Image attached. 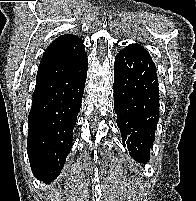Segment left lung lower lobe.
Segmentation results:
<instances>
[{
  "mask_svg": "<svg viewBox=\"0 0 196 201\" xmlns=\"http://www.w3.org/2000/svg\"><path fill=\"white\" fill-rule=\"evenodd\" d=\"M114 109L129 154L148 162L159 119V91L155 64L139 45L130 44L115 57Z\"/></svg>",
  "mask_w": 196,
  "mask_h": 201,
  "instance_id": "1",
  "label": "left lung lower lobe"
}]
</instances>
